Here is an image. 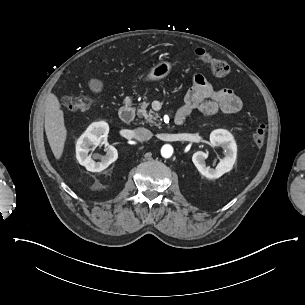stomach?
Masks as SVG:
<instances>
[{"label":"stomach","instance_id":"stomach-1","mask_svg":"<svg viewBox=\"0 0 305 305\" xmlns=\"http://www.w3.org/2000/svg\"><path fill=\"white\" fill-rule=\"evenodd\" d=\"M171 69V65L169 62L161 61L157 65H155L150 73L147 75V80H159L166 77Z\"/></svg>","mask_w":305,"mask_h":305}]
</instances>
